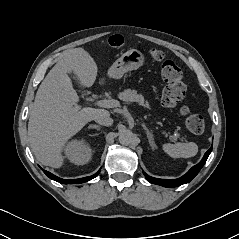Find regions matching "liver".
I'll use <instances>...</instances> for the list:
<instances>
[{
	"mask_svg": "<svg viewBox=\"0 0 239 239\" xmlns=\"http://www.w3.org/2000/svg\"><path fill=\"white\" fill-rule=\"evenodd\" d=\"M97 65L83 48H74L49 71L40 84L30 111L28 136L36 159L45 166L63 165L62 151L68 139L80 131L103 109H76L79 97L68 73L77 76L84 87H91ZM104 83V79L99 81Z\"/></svg>",
	"mask_w": 239,
	"mask_h": 239,
	"instance_id": "6515ba94",
	"label": "liver"
}]
</instances>
